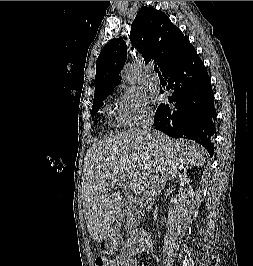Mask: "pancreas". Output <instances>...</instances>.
Masks as SVG:
<instances>
[{"instance_id":"obj_1","label":"pancreas","mask_w":253,"mask_h":266,"mask_svg":"<svg viewBox=\"0 0 253 266\" xmlns=\"http://www.w3.org/2000/svg\"><path fill=\"white\" fill-rule=\"evenodd\" d=\"M136 202V198H133L129 201L128 209H127V227L132 228L137 225L141 218V210L137 208V205L132 207V204Z\"/></svg>"}]
</instances>
